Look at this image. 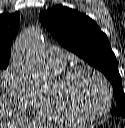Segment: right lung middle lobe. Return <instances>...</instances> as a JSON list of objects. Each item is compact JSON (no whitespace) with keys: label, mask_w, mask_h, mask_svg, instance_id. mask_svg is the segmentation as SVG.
I'll return each instance as SVG.
<instances>
[{"label":"right lung middle lobe","mask_w":125,"mask_h":128,"mask_svg":"<svg viewBox=\"0 0 125 128\" xmlns=\"http://www.w3.org/2000/svg\"><path fill=\"white\" fill-rule=\"evenodd\" d=\"M9 65V61H0V70L6 69Z\"/></svg>","instance_id":"dd1d6c3e"}]
</instances>
